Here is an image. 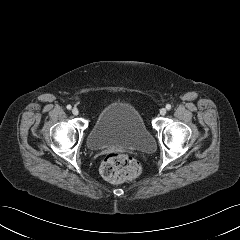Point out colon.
<instances>
[{"label": "colon", "mask_w": 240, "mask_h": 240, "mask_svg": "<svg viewBox=\"0 0 240 240\" xmlns=\"http://www.w3.org/2000/svg\"><path fill=\"white\" fill-rule=\"evenodd\" d=\"M100 171L105 179L121 183L135 179L140 173V167L134 158L114 152L105 157Z\"/></svg>", "instance_id": "colon-1"}]
</instances>
